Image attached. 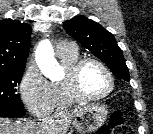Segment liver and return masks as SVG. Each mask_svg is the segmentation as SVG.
Wrapping results in <instances>:
<instances>
[{
  "mask_svg": "<svg viewBox=\"0 0 153 134\" xmlns=\"http://www.w3.org/2000/svg\"><path fill=\"white\" fill-rule=\"evenodd\" d=\"M82 110L83 108L65 110L49 120L21 122L13 121L8 118H0V134H50V132L64 134L68 131L73 119H75Z\"/></svg>",
  "mask_w": 153,
  "mask_h": 134,
  "instance_id": "obj_1",
  "label": "liver"
}]
</instances>
